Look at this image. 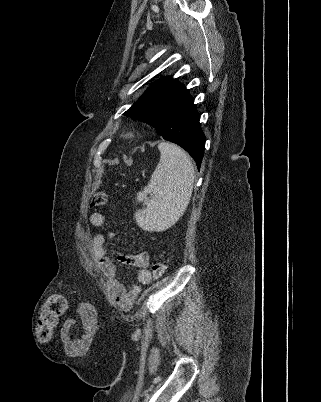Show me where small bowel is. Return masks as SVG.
I'll list each match as a JSON object with an SVG mask.
<instances>
[{
    "label": "small bowel",
    "mask_w": 321,
    "mask_h": 402,
    "mask_svg": "<svg viewBox=\"0 0 321 402\" xmlns=\"http://www.w3.org/2000/svg\"><path fill=\"white\" fill-rule=\"evenodd\" d=\"M107 222V217L102 212H93L90 215V224L94 228H101ZM112 232L104 234H95L92 238V253L93 257L109 282L112 294L117 304L124 310L129 311L136 299L141 293L142 285L151 282V274L147 269L149 264V256L147 253H139L133 255H125L116 253L115 258L118 263L133 266L138 269L137 283H133L129 289L125 284L117 277L118 266L116 261L112 257L106 254L104 249V243L106 238H113ZM95 305L93 302H83L77 310L79 315V322L84 324L78 332L79 338H69L68 329H75V320H63L61 327L63 328L64 346L68 354L72 358H83L84 353H87L88 347L91 345L92 335L95 333V329L98 327L95 313Z\"/></svg>",
    "instance_id": "1"
}]
</instances>
